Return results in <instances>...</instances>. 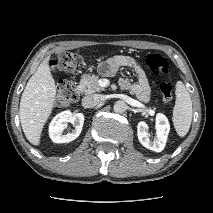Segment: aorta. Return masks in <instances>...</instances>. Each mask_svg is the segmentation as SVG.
Returning <instances> with one entry per match:
<instances>
[{
  "mask_svg": "<svg viewBox=\"0 0 213 213\" xmlns=\"http://www.w3.org/2000/svg\"><path fill=\"white\" fill-rule=\"evenodd\" d=\"M113 109L116 113H123L127 109V105L124 101L120 100L115 102Z\"/></svg>",
  "mask_w": 213,
  "mask_h": 213,
  "instance_id": "762f6f07",
  "label": "aorta"
}]
</instances>
